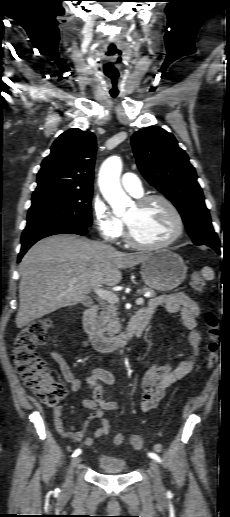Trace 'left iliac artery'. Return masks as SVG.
<instances>
[{
    "instance_id": "44dca946",
    "label": "left iliac artery",
    "mask_w": 230,
    "mask_h": 517,
    "mask_svg": "<svg viewBox=\"0 0 230 517\" xmlns=\"http://www.w3.org/2000/svg\"><path fill=\"white\" fill-rule=\"evenodd\" d=\"M148 456L154 460H156L157 462L161 463V459L160 457L156 454V453H153V452H149L148 453ZM168 494H170V492L168 491Z\"/></svg>"
}]
</instances>
